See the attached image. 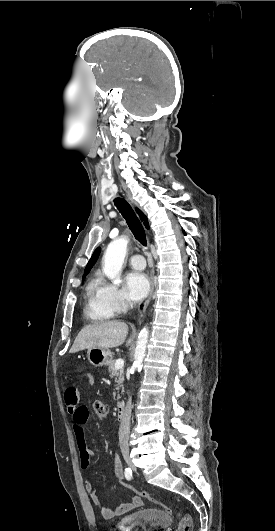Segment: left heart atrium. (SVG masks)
<instances>
[{
  "instance_id": "1",
  "label": "left heart atrium",
  "mask_w": 275,
  "mask_h": 531,
  "mask_svg": "<svg viewBox=\"0 0 275 531\" xmlns=\"http://www.w3.org/2000/svg\"><path fill=\"white\" fill-rule=\"evenodd\" d=\"M124 289L133 301L142 299L149 290V279L140 271L129 272L124 280Z\"/></svg>"
}]
</instances>
